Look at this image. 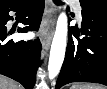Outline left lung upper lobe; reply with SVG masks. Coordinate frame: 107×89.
I'll return each mask as SVG.
<instances>
[{"label":"left lung upper lobe","instance_id":"5c2ea615","mask_svg":"<svg viewBox=\"0 0 107 89\" xmlns=\"http://www.w3.org/2000/svg\"><path fill=\"white\" fill-rule=\"evenodd\" d=\"M82 9L107 13V0H80Z\"/></svg>","mask_w":107,"mask_h":89}]
</instances>
